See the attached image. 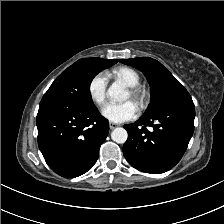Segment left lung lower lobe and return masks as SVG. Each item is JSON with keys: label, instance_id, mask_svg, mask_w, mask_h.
Instances as JSON below:
<instances>
[{"label": "left lung lower lobe", "instance_id": "obj_1", "mask_svg": "<svg viewBox=\"0 0 224 224\" xmlns=\"http://www.w3.org/2000/svg\"><path fill=\"white\" fill-rule=\"evenodd\" d=\"M194 118L195 106L191 99L125 125L128 131L123 146L125 158L142 172L159 174L170 170L187 149L194 132ZM145 126L153 130L150 132Z\"/></svg>", "mask_w": 224, "mask_h": 224}]
</instances>
